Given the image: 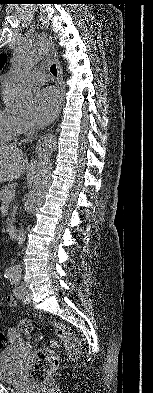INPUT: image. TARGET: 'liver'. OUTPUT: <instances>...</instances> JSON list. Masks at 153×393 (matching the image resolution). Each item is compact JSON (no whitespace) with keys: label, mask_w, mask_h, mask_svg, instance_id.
<instances>
[{"label":"liver","mask_w":153,"mask_h":393,"mask_svg":"<svg viewBox=\"0 0 153 393\" xmlns=\"http://www.w3.org/2000/svg\"><path fill=\"white\" fill-rule=\"evenodd\" d=\"M27 169L23 151L16 145L0 146V184L19 178Z\"/></svg>","instance_id":"liver-1"}]
</instances>
